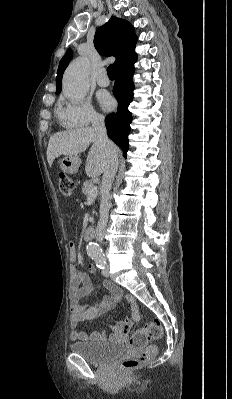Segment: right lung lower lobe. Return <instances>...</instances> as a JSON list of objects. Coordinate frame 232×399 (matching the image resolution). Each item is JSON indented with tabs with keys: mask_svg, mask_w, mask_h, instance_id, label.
Here are the masks:
<instances>
[{
	"mask_svg": "<svg viewBox=\"0 0 232 399\" xmlns=\"http://www.w3.org/2000/svg\"><path fill=\"white\" fill-rule=\"evenodd\" d=\"M137 57L127 61L115 69L116 81L113 93L118 101L116 113L109 114L105 118L107 134L123 151L126 158L128 150V134L130 133V124L132 122L131 112L128 106L133 99L134 84L132 81L134 66Z\"/></svg>",
	"mask_w": 232,
	"mask_h": 399,
	"instance_id": "obj_1",
	"label": "right lung lower lobe"
}]
</instances>
